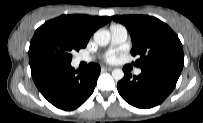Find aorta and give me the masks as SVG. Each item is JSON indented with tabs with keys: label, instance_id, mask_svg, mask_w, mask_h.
<instances>
[{
	"label": "aorta",
	"instance_id": "aorta-1",
	"mask_svg": "<svg viewBox=\"0 0 203 123\" xmlns=\"http://www.w3.org/2000/svg\"><path fill=\"white\" fill-rule=\"evenodd\" d=\"M111 39L110 32L108 30H98L94 33V41L99 45V46H106L109 44ZM112 77L116 80L119 81L123 79L124 77V72L122 69H114L112 71Z\"/></svg>",
	"mask_w": 203,
	"mask_h": 123
}]
</instances>
